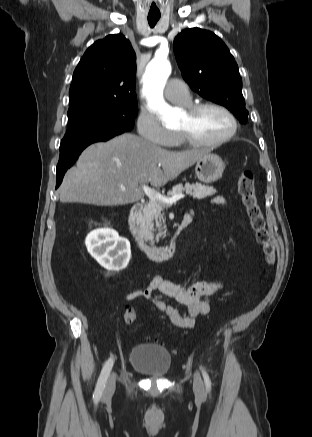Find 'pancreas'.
Masks as SVG:
<instances>
[{
    "mask_svg": "<svg viewBox=\"0 0 312 437\" xmlns=\"http://www.w3.org/2000/svg\"><path fill=\"white\" fill-rule=\"evenodd\" d=\"M183 191L197 199H204L216 193L213 187L199 183L192 185L186 183L185 185L178 184L174 186L167 195L168 197H172L181 194ZM167 207H169V205L163 202L150 201L144 209L140 223V233L141 236L151 244L155 241L158 242L159 239L166 234L165 217L162 211ZM154 234H156L155 239Z\"/></svg>",
    "mask_w": 312,
    "mask_h": 437,
    "instance_id": "obj_1",
    "label": "pancreas"
}]
</instances>
